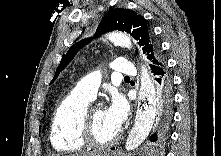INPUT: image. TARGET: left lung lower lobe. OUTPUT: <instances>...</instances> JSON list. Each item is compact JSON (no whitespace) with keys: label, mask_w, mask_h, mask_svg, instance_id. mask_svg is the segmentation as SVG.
Segmentation results:
<instances>
[{"label":"left lung lower lobe","mask_w":221,"mask_h":156,"mask_svg":"<svg viewBox=\"0 0 221 156\" xmlns=\"http://www.w3.org/2000/svg\"><path fill=\"white\" fill-rule=\"evenodd\" d=\"M154 76V124L151 142H161L169 134L173 111L172 77L166 62L151 67ZM114 149V148H112Z\"/></svg>","instance_id":"obj_1"}]
</instances>
